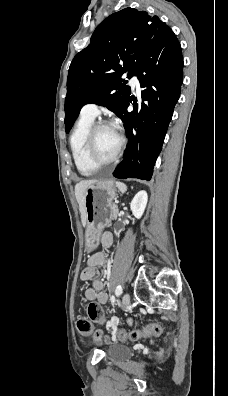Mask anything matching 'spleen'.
Listing matches in <instances>:
<instances>
[{
    "label": "spleen",
    "instance_id": "1",
    "mask_svg": "<svg viewBox=\"0 0 228 396\" xmlns=\"http://www.w3.org/2000/svg\"><path fill=\"white\" fill-rule=\"evenodd\" d=\"M116 186L121 192H125L127 190V186L122 182H116Z\"/></svg>",
    "mask_w": 228,
    "mask_h": 396
}]
</instances>
